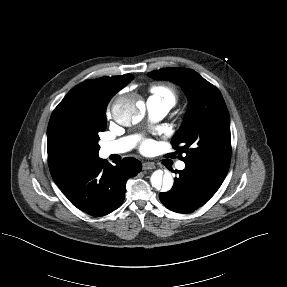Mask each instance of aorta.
Wrapping results in <instances>:
<instances>
[{"label":"aorta","mask_w":287,"mask_h":287,"mask_svg":"<svg viewBox=\"0 0 287 287\" xmlns=\"http://www.w3.org/2000/svg\"><path fill=\"white\" fill-rule=\"evenodd\" d=\"M144 114V104L140 97L134 94L126 95L118 99L112 107V116L120 124L127 126L130 123H138ZM151 185L156 190L169 191L173 186V177L170 172L156 170L150 178Z\"/></svg>","instance_id":"762f6f07"}]
</instances>
